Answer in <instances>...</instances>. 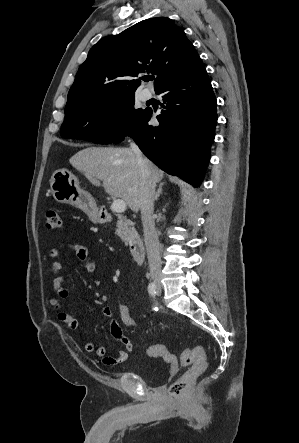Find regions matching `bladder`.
Masks as SVG:
<instances>
[{
  "label": "bladder",
  "instance_id": "31cf9c89",
  "mask_svg": "<svg viewBox=\"0 0 299 443\" xmlns=\"http://www.w3.org/2000/svg\"><path fill=\"white\" fill-rule=\"evenodd\" d=\"M134 374L141 378L145 383L150 385H156L162 382L167 376L168 371L162 373H156L153 370H147L140 368L138 365L134 367Z\"/></svg>",
  "mask_w": 299,
  "mask_h": 443
}]
</instances>
